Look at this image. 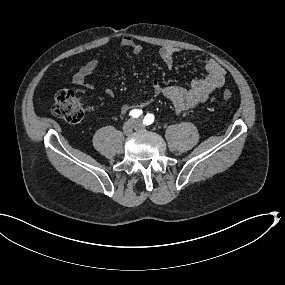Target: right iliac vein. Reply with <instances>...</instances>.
<instances>
[{
  "label": "right iliac vein",
  "instance_id": "right-iliac-vein-1",
  "mask_svg": "<svg viewBox=\"0 0 285 285\" xmlns=\"http://www.w3.org/2000/svg\"><path fill=\"white\" fill-rule=\"evenodd\" d=\"M138 124L135 121L130 120L123 125V133L126 135L131 134L134 130L137 129Z\"/></svg>",
  "mask_w": 285,
  "mask_h": 285
}]
</instances>
